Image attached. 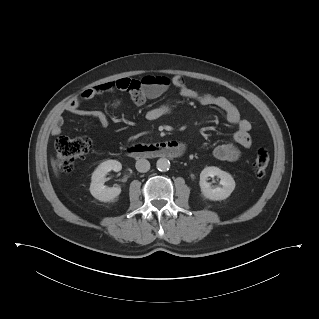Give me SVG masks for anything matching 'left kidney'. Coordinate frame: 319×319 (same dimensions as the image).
Masks as SVG:
<instances>
[{"instance_id":"1","label":"left kidney","mask_w":319,"mask_h":319,"mask_svg":"<svg viewBox=\"0 0 319 319\" xmlns=\"http://www.w3.org/2000/svg\"><path fill=\"white\" fill-rule=\"evenodd\" d=\"M214 176L220 178V184L222 187H212L210 183L207 182L209 177L213 178ZM199 185L202 194L207 199L219 201L230 196L235 188V181L229 173L222 171L218 167L211 166L205 167L200 173Z\"/></svg>"}]
</instances>
